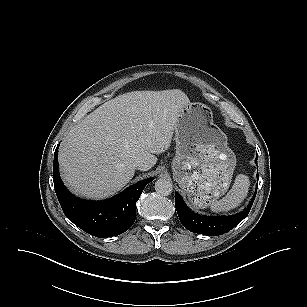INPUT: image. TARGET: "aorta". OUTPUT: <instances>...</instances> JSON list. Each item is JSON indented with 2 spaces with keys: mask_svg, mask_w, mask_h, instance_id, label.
Returning a JSON list of instances; mask_svg holds the SVG:
<instances>
[{
  "mask_svg": "<svg viewBox=\"0 0 307 307\" xmlns=\"http://www.w3.org/2000/svg\"><path fill=\"white\" fill-rule=\"evenodd\" d=\"M172 190V183L168 179L160 178L155 182V191L161 196L170 195Z\"/></svg>",
  "mask_w": 307,
  "mask_h": 307,
  "instance_id": "1",
  "label": "aorta"
}]
</instances>
